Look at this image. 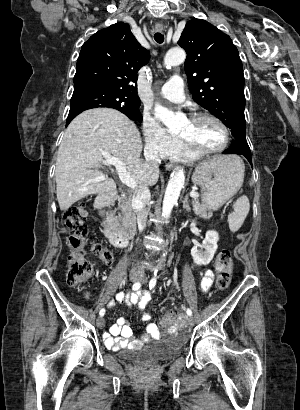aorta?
I'll use <instances>...</instances> for the list:
<instances>
[{
  "label": "aorta",
  "mask_w": 300,
  "mask_h": 410,
  "mask_svg": "<svg viewBox=\"0 0 300 410\" xmlns=\"http://www.w3.org/2000/svg\"><path fill=\"white\" fill-rule=\"evenodd\" d=\"M186 53L181 48L170 49L164 59V64L167 68L179 65L185 61ZM155 116L163 122L171 131H178L182 125V119L176 116L172 111L161 105H155ZM185 173L183 168H176L172 173L168 182L163 205L162 216L166 219L170 217L174 205L177 203L181 189L184 186Z\"/></svg>",
  "instance_id": "762f6f07"
}]
</instances>
